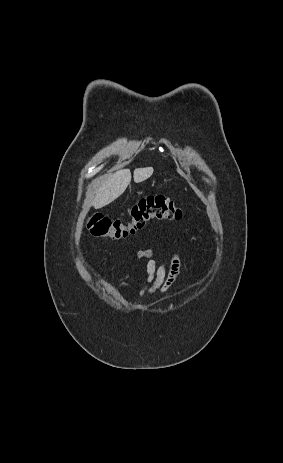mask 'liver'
<instances>
[{
    "label": "liver",
    "instance_id": "6515ba94",
    "mask_svg": "<svg viewBox=\"0 0 283 463\" xmlns=\"http://www.w3.org/2000/svg\"><path fill=\"white\" fill-rule=\"evenodd\" d=\"M152 167L137 168L133 172L135 183L148 179L153 174ZM131 182V173L128 169H122L107 177L106 181L99 187L93 199V207L100 209L115 199L126 190Z\"/></svg>",
    "mask_w": 283,
    "mask_h": 463
}]
</instances>
